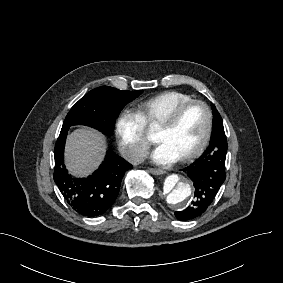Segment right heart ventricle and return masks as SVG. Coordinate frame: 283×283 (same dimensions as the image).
I'll return each instance as SVG.
<instances>
[{
  "mask_svg": "<svg viewBox=\"0 0 283 283\" xmlns=\"http://www.w3.org/2000/svg\"><path fill=\"white\" fill-rule=\"evenodd\" d=\"M184 92L168 91L141 101L135 107V113L150 127H157L161 118L175 106L191 100Z\"/></svg>",
  "mask_w": 283,
  "mask_h": 283,
  "instance_id": "e07e8e85",
  "label": "right heart ventricle"
}]
</instances>
